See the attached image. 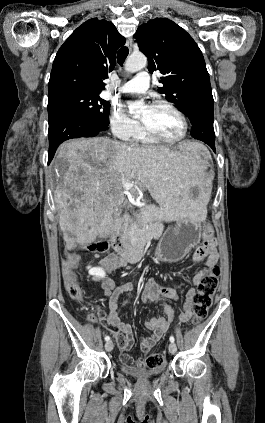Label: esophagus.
<instances>
[{
  "label": "esophagus",
  "mask_w": 265,
  "mask_h": 423,
  "mask_svg": "<svg viewBox=\"0 0 265 423\" xmlns=\"http://www.w3.org/2000/svg\"><path fill=\"white\" fill-rule=\"evenodd\" d=\"M126 46L128 47L129 50L132 49V38L128 37L126 40Z\"/></svg>",
  "instance_id": "obj_1"
}]
</instances>
